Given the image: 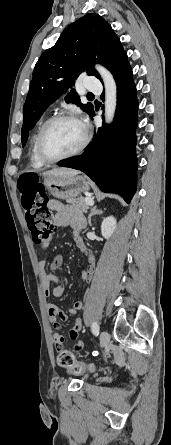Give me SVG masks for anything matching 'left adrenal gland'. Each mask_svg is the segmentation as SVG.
<instances>
[{"instance_id": "obj_1", "label": "left adrenal gland", "mask_w": 171, "mask_h": 445, "mask_svg": "<svg viewBox=\"0 0 171 445\" xmlns=\"http://www.w3.org/2000/svg\"><path fill=\"white\" fill-rule=\"evenodd\" d=\"M102 213H103V211H102V210H98V209H97V206L92 207V208H91V211H90V214H89V216H88V224H89V226L92 225V224H91V217H92L93 215H96V214H102Z\"/></svg>"}]
</instances>
